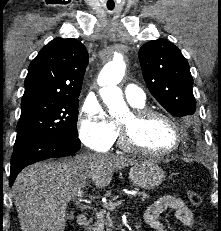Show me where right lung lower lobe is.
<instances>
[{
    "instance_id": "98d812e1",
    "label": "right lung lower lobe",
    "mask_w": 221,
    "mask_h": 231,
    "mask_svg": "<svg viewBox=\"0 0 221 231\" xmlns=\"http://www.w3.org/2000/svg\"><path fill=\"white\" fill-rule=\"evenodd\" d=\"M81 147L80 140L48 136L33 139L15 148L11 158L9 185L12 186L18 173L26 166L48 158L64 157L76 153Z\"/></svg>"
}]
</instances>
